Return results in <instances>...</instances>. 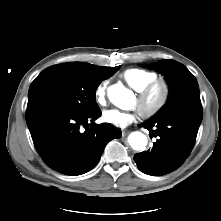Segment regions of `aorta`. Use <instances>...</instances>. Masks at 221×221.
<instances>
[{"label":"aorta","mask_w":221,"mask_h":221,"mask_svg":"<svg viewBox=\"0 0 221 221\" xmlns=\"http://www.w3.org/2000/svg\"><path fill=\"white\" fill-rule=\"evenodd\" d=\"M110 101L120 109L129 107L132 92L122 84H115L108 88L107 91ZM129 145L136 151H142L147 145V137L139 131L132 132L128 136Z\"/></svg>","instance_id":"762f6f07"}]
</instances>
